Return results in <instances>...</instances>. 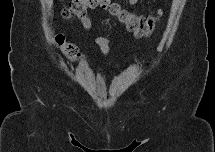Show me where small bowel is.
<instances>
[{"label":"small bowel","mask_w":215,"mask_h":152,"mask_svg":"<svg viewBox=\"0 0 215 152\" xmlns=\"http://www.w3.org/2000/svg\"><path fill=\"white\" fill-rule=\"evenodd\" d=\"M136 0H131L130 5L134 6L136 4ZM79 21L83 28L90 30L92 27L91 20L87 16H82L79 18ZM94 43L99 47L103 55L110 56L111 55V47L109 41L105 37H96L94 39Z\"/></svg>","instance_id":"small-bowel-1"}]
</instances>
